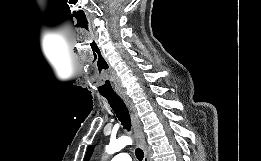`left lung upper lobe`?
<instances>
[{"mask_svg": "<svg viewBox=\"0 0 261 161\" xmlns=\"http://www.w3.org/2000/svg\"><path fill=\"white\" fill-rule=\"evenodd\" d=\"M94 145H90L88 148V152H87V156H86V160L89 159V157L91 156V153L93 151Z\"/></svg>", "mask_w": 261, "mask_h": 161, "instance_id": "left-lung-upper-lobe-1", "label": "left lung upper lobe"}]
</instances>
